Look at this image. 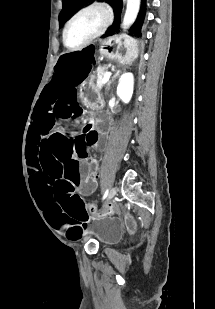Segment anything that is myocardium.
I'll list each match as a JSON object with an SVG mask.
<instances>
[{
  "label": "myocardium",
  "mask_w": 215,
  "mask_h": 309,
  "mask_svg": "<svg viewBox=\"0 0 215 309\" xmlns=\"http://www.w3.org/2000/svg\"><path fill=\"white\" fill-rule=\"evenodd\" d=\"M109 12L101 6H89L81 9L74 14L65 24L62 31V42L66 48H85L94 39L98 38L104 30H107L112 24L109 19ZM80 19H87L89 21V30L81 41L71 44L68 41V35L71 27Z\"/></svg>",
  "instance_id": "1"
}]
</instances>
